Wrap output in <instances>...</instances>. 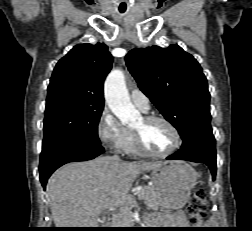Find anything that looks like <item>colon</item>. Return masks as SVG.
<instances>
[{"mask_svg":"<svg viewBox=\"0 0 252 231\" xmlns=\"http://www.w3.org/2000/svg\"><path fill=\"white\" fill-rule=\"evenodd\" d=\"M206 192L198 189L194 192L187 206V213L191 223H198L206 213Z\"/></svg>","mask_w":252,"mask_h":231,"instance_id":"5ec220e1","label":"colon"}]
</instances>
